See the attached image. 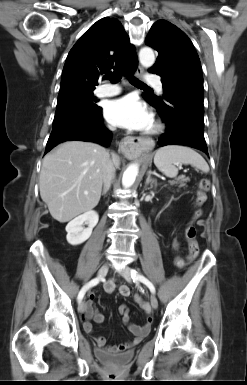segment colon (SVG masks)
<instances>
[{
	"label": "colon",
	"mask_w": 247,
	"mask_h": 385,
	"mask_svg": "<svg viewBox=\"0 0 247 385\" xmlns=\"http://www.w3.org/2000/svg\"><path fill=\"white\" fill-rule=\"evenodd\" d=\"M211 187L210 181L207 178H202L199 182V190L197 192L195 206L198 208L195 212L196 216L201 215V207L207 200V193ZM184 237L188 244L189 256L188 260L192 261L196 258L199 253V244L196 240V229L192 223H188L184 228ZM178 245V242L175 241V246ZM183 262H179V265H182ZM123 292L128 293V289H124Z\"/></svg>",
	"instance_id": "colon-1"
}]
</instances>
